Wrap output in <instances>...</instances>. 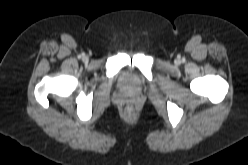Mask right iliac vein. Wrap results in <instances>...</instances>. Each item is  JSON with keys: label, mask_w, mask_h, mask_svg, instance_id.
<instances>
[{"label": "right iliac vein", "mask_w": 248, "mask_h": 165, "mask_svg": "<svg viewBox=\"0 0 248 165\" xmlns=\"http://www.w3.org/2000/svg\"><path fill=\"white\" fill-rule=\"evenodd\" d=\"M82 60L83 61H87L88 60V57L87 56H83Z\"/></svg>", "instance_id": "obj_1"}]
</instances>
